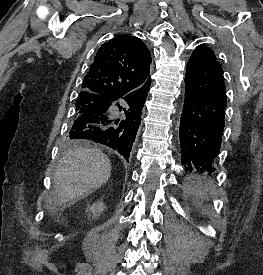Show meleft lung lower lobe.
Returning a JSON list of instances; mask_svg holds the SVG:
<instances>
[{
    "label": "left lung lower lobe",
    "instance_id": "left-lung-lower-lobe-1",
    "mask_svg": "<svg viewBox=\"0 0 263 275\" xmlns=\"http://www.w3.org/2000/svg\"><path fill=\"white\" fill-rule=\"evenodd\" d=\"M185 86L179 128L181 164L188 174H210L221 147L227 104L223 70L211 49L192 53Z\"/></svg>",
    "mask_w": 263,
    "mask_h": 275
}]
</instances>
